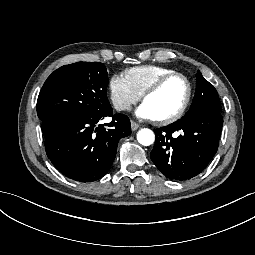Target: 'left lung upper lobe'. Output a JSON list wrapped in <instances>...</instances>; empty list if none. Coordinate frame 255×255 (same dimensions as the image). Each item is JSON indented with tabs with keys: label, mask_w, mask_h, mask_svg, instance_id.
<instances>
[{
	"label": "left lung upper lobe",
	"mask_w": 255,
	"mask_h": 255,
	"mask_svg": "<svg viewBox=\"0 0 255 255\" xmlns=\"http://www.w3.org/2000/svg\"><path fill=\"white\" fill-rule=\"evenodd\" d=\"M197 87L195 97L188 112L197 108H209L221 111V104L216 89L204 79L200 71L197 72Z\"/></svg>",
	"instance_id": "obj_1"
}]
</instances>
